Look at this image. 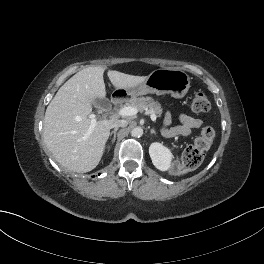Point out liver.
Segmentation results:
<instances>
[{
  "label": "liver",
  "mask_w": 264,
  "mask_h": 264,
  "mask_svg": "<svg viewBox=\"0 0 264 264\" xmlns=\"http://www.w3.org/2000/svg\"><path fill=\"white\" fill-rule=\"evenodd\" d=\"M105 68H85L57 91L48 105L44 118V141L56 160L74 172H89L100 162L112 124L117 118L96 121L90 131L92 105L96 99H106ZM115 89L135 87L147 76H134L108 71Z\"/></svg>",
  "instance_id": "6515ba94"
}]
</instances>
